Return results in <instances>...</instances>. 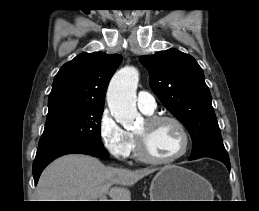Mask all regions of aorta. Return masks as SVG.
Returning <instances> with one entry per match:
<instances>
[{
    "label": "aorta",
    "mask_w": 259,
    "mask_h": 211,
    "mask_svg": "<svg viewBox=\"0 0 259 211\" xmlns=\"http://www.w3.org/2000/svg\"><path fill=\"white\" fill-rule=\"evenodd\" d=\"M138 81V70L134 67H126L113 76L108 87V107L113 117L125 129L134 127L140 117L136 108Z\"/></svg>",
    "instance_id": "obj_1"
}]
</instances>
